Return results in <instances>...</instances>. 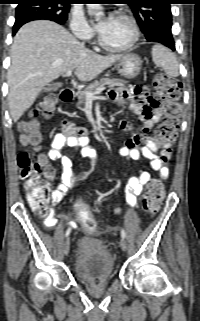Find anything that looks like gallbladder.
<instances>
[{
  "instance_id": "bac80fb5",
  "label": "gallbladder",
  "mask_w": 200,
  "mask_h": 321,
  "mask_svg": "<svg viewBox=\"0 0 200 321\" xmlns=\"http://www.w3.org/2000/svg\"><path fill=\"white\" fill-rule=\"evenodd\" d=\"M59 87H61L60 83L50 84L43 89V92L56 91Z\"/></svg>"
}]
</instances>
